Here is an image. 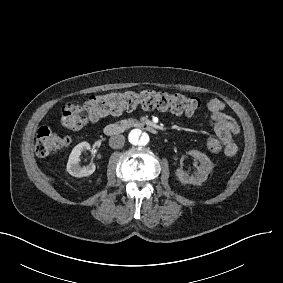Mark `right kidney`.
Here are the masks:
<instances>
[{"label": "right kidney", "instance_id": "right-kidney-1", "mask_svg": "<svg viewBox=\"0 0 283 283\" xmlns=\"http://www.w3.org/2000/svg\"><path fill=\"white\" fill-rule=\"evenodd\" d=\"M91 146L88 142L84 141L77 144L69 155L67 163V172L74 177H86L94 173L95 164L90 163L87 166L81 167L79 165L80 155L86 150H90Z\"/></svg>", "mask_w": 283, "mask_h": 283}]
</instances>
